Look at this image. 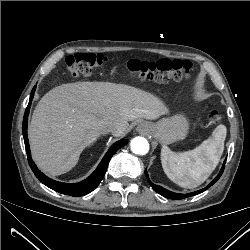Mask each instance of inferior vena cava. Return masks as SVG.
<instances>
[{
    "label": "inferior vena cava",
    "instance_id": "602c4592",
    "mask_svg": "<svg viewBox=\"0 0 250 250\" xmlns=\"http://www.w3.org/2000/svg\"><path fill=\"white\" fill-rule=\"evenodd\" d=\"M121 131V127L115 123H109L105 129H104V133H112L115 134L117 132Z\"/></svg>",
    "mask_w": 250,
    "mask_h": 250
}]
</instances>
